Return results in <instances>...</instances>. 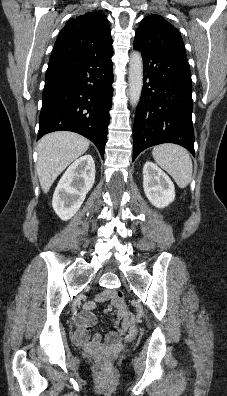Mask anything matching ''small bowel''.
Returning <instances> with one entry per match:
<instances>
[{
  "label": "small bowel",
  "instance_id": "obj_1",
  "mask_svg": "<svg viewBox=\"0 0 227 396\" xmlns=\"http://www.w3.org/2000/svg\"><path fill=\"white\" fill-rule=\"evenodd\" d=\"M115 290H106L99 294L95 300L85 304L84 310L80 312L74 319L78 328L76 331L77 340L86 348L96 350L104 345L102 336L98 333L90 337L89 329L95 323V315L93 310L97 303L110 301L111 305L108 308L110 312L115 315L117 330L111 331L107 334L106 344L108 346L116 345L122 337L126 340H131L137 335V327L135 325L134 317L129 312L124 302L116 299Z\"/></svg>",
  "mask_w": 227,
  "mask_h": 396
}]
</instances>
